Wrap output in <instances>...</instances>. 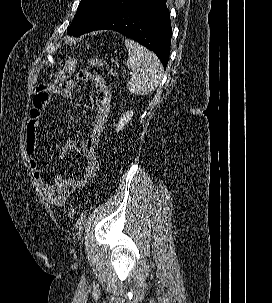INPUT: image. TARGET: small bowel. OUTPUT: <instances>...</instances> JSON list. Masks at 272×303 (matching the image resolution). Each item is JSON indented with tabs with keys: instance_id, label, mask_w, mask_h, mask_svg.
<instances>
[{
	"instance_id": "c3829d8e",
	"label": "small bowel",
	"mask_w": 272,
	"mask_h": 303,
	"mask_svg": "<svg viewBox=\"0 0 272 303\" xmlns=\"http://www.w3.org/2000/svg\"><path fill=\"white\" fill-rule=\"evenodd\" d=\"M77 81L91 82L95 87V113L90 133L85 139L67 140L56 151V157L63 160L67 157L68 151H73L85 159L86 169L80 179H72L68 176L57 174L51 182H46L36 157L39 120L51 96L57 93L65 98L71 97V92L76 86ZM110 102L111 93L105 79L99 74L88 71L80 72L76 80L62 82L55 91L49 88V84L42 85L36 90L25 131V146L31 173L51 206L63 208L68 196L73 191L86 188L96 177L100 169L97 148L100 136L110 114Z\"/></svg>"
}]
</instances>
